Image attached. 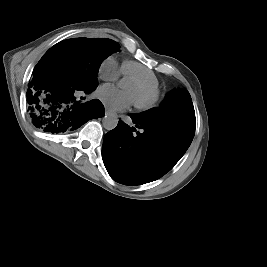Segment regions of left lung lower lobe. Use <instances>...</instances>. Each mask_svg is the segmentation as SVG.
Returning a JSON list of instances; mask_svg holds the SVG:
<instances>
[{"instance_id": "left-lung-lower-lobe-1", "label": "left lung lower lobe", "mask_w": 267, "mask_h": 267, "mask_svg": "<svg viewBox=\"0 0 267 267\" xmlns=\"http://www.w3.org/2000/svg\"><path fill=\"white\" fill-rule=\"evenodd\" d=\"M136 132L122 121L105 137L102 158L115 181L125 185L151 182L166 174L188 149L193 138L157 125H147L132 115Z\"/></svg>"}]
</instances>
